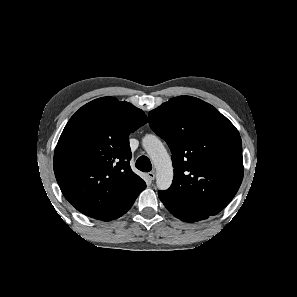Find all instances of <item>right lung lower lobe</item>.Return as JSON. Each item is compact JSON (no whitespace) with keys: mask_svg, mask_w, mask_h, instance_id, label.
I'll list each match as a JSON object with an SVG mask.
<instances>
[{"mask_svg":"<svg viewBox=\"0 0 297 297\" xmlns=\"http://www.w3.org/2000/svg\"><path fill=\"white\" fill-rule=\"evenodd\" d=\"M136 198H137V196L123 209V211H121L118 214V216L116 218H118V217L122 216L124 213H126L131 208V206L133 205Z\"/></svg>","mask_w":297,"mask_h":297,"instance_id":"98d812e1","label":"right lung lower lobe"}]
</instances>
